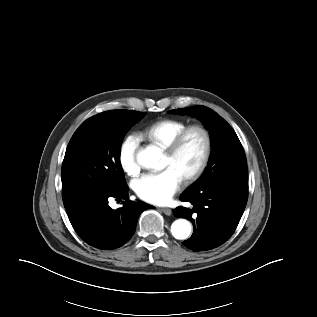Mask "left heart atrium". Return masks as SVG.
I'll return each mask as SVG.
<instances>
[{"mask_svg":"<svg viewBox=\"0 0 317 317\" xmlns=\"http://www.w3.org/2000/svg\"><path fill=\"white\" fill-rule=\"evenodd\" d=\"M182 177L173 169L166 168L159 173H148L134 182L139 198L153 204H166L179 190Z\"/></svg>","mask_w":317,"mask_h":317,"instance_id":"39dd6f15","label":"left heart atrium"}]
</instances>
